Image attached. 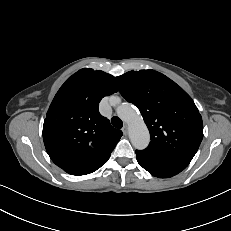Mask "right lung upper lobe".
<instances>
[{
	"label": "right lung upper lobe",
	"instance_id": "right-lung-upper-lobe-1",
	"mask_svg": "<svg viewBox=\"0 0 231 231\" xmlns=\"http://www.w3.org/2000/svg\"><path fill=\"white\" fill-rule=\"evenodd\" d=\"M118 91L112 75L84 68L58 90L47 112L43 140L51 160L72 175H84L110 157L123 135L100 115L99 102Z\"/></svg>",
	"mask_w": 231,
	"mask_h": 231
}]
</instances>
